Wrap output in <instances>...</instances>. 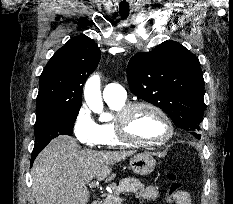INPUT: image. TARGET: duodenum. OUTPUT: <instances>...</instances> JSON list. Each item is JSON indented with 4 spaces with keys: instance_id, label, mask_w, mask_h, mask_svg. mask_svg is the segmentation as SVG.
<instances>
[{
    "instance_id": "obj_1",
    "label": "duodenum",
    "mask_w": 233,
    "mask_h": 204,
    "mask_svg": "<svg viewBox=\"0 0 233 204\" xmlns=\"http://www.w3.org/2000/svg\"><path fill=\"white\" fill-rule=\"evenodd\" d=\"M91 204H99V202H97V201H94V202H92Z\"/></svg>"
}]
</instances>
